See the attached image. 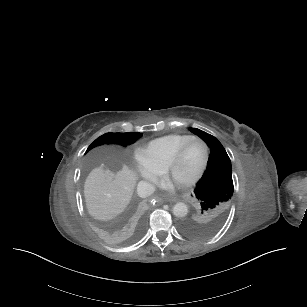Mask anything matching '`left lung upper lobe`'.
<instances>
[{
    "label": "left lung upper lobe",
    "instance_id": "5c2ea615",
    "mask_svg": "<svg viewBox=\"0 0 307 307\" xmlns=\"http://www.w3.org/2000/svg\"><path fill=\"white\" fill-rule=\"evenodd\" d=\"M210 147L207 168L194 190L195 214L181 222L184 233L194 237H208L223 225L233 196L231 161L222 144L212 135L190 129Z\"/></svg>",
    "mask_w": 307,
    "mask_h": 307
}]
</instances>
